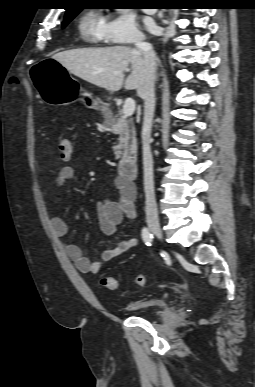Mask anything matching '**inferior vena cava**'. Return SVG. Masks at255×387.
I'll return each mask as SVG.
<instances>
[{
    "label": "inferior vena cava",
    "mask_w": 255,
    "mask_h": 387,
    "mask_svg": "<svg viewBox=\"0 0 255 387\" xmlns=\"http://www.w3.org/2000/svg\"><path fill=\"white\" fill-rule=\"evenodd\" d=\"M135 46L143 54L145 83L138 95L144 100V119L142 128L144 191L147 222H158V212L154 192L153 157L150 149L151 127L155 111L156 56L150 43L142 38L135 41Z\"/></svg>",
    "instance_id": "1"
}]
</instances>
